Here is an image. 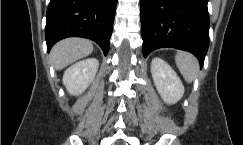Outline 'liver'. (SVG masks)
I'll list each match as a JSON object with an SVG mask.
<instances>
[{
  "label": "liver",
  "instance_id": "liver-1",
  "mask_svg": "<svg viewBox=\"0 0 243 145\" xmlns=\"http://www.w3.org/2000/svg\"><path fill=\"white\" fill-rule=\"evenodd\" d=\"M93 51L91 41L81 38H68L58 42L50 56L55 69L61 70L75 61L90 55Z\"/></svg>",
  "mask_w": 243,
  "mask_h": 145
}]
</instances>
